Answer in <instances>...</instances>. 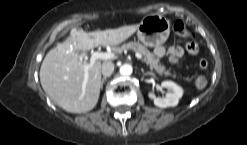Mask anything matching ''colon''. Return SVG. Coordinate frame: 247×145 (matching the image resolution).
<instances>
[{"mask_svg": "<svg viewBox=\"0 0 247 145\" xmlns=\"http://www.w3.org/2000/svg\"><path fill=\"white\" fill-rule=\"evenodd\" d=\"M173 31L176 34L180 35L181 37H183V38H185L187 40H190V41H194L195 40V34L192 31L186 29L185 26H184V24L181 21H176L173 24ZM199 67L203 71H205L207 69V67H208L207 60L201 59L199 61ZM207 83H208V77H207L206 74L199 76L197 78V80H196V85H197L198 88H204V87H206Z\"/></svg>", "mask_w": 247, "mask_h": 145, "instance_id": "1", "label": "colon"}]
</instances>
